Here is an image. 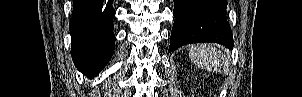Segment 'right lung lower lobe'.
I'll return each mask as SVG.
<instances>
[{
    "label": "right lung lower lobe",
    "instance_id": "98d812e1",
    "mask_svg": "<svg viewBox=\"0 0 302 97\" xmlns=\"http://www.w3.org/2000/svg\"><path fill=\"white\" fill-rule=\"evenodd\" d=\"M113 0H73L71 55L88 77L97 75L114 52Z\"/></svg>",
    "mask_w": 302,
    "mask_h": 97
}]
</instances>
